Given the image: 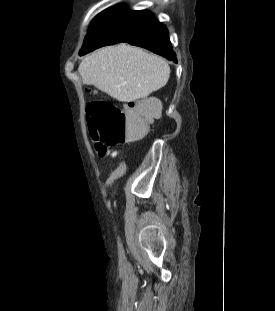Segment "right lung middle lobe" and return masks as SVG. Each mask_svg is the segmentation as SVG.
I'll return each instance as SVG.
<instances>
[{
    "label": "right lung middle lobe",
    "mask_w": 275,
    "mask_h": 311,
    "mask_svg": "<svg viewBox=\"0 0 275 311\" xmlns=\"http://www.w3.org/2000/svg\"><path fill=\"white\" fill-rule=\"evenodd\" d=\"M152 16L148 11H132L124 5L101 12L89 27L79 54L85 55L97 48L120 43L135 26Z\"/></svg>",
    "instance_id": "1"
}]
</instances>
